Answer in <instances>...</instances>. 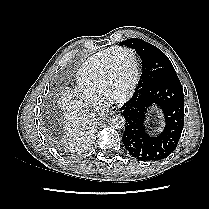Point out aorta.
Segmentation results:
<instances>
[{"instance_id":"obj_1","label":"aorta","mask_w":209,"mask_h":209,"mask_svg":"<svg viewBox=\"0 0 209 209\" xmlns=\"http://www.w3.org/2000/svg\"><path fill=\"white\" fill-rule=\"evenodd\" d=\"M109 124L112 128L121 129L125 126V118L120 114L113 115Z\"/></svg>"}]
</instances>
